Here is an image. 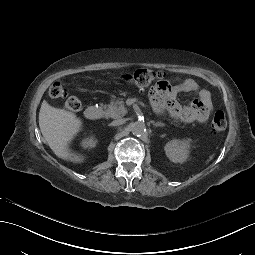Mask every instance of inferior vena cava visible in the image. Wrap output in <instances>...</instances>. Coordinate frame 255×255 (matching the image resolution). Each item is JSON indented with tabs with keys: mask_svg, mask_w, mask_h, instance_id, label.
Returning <instances> with one entry per match:
<instances>
[{
	"mask_svg": "<svg viewBox=\"0 0 255 255\" xmlns=\"http://www.w3.org/2000/svg\"><path fill=\"white\" fill-rule=\"evenodd\" d=\"M121 124H122V120H120V119L114 120V121L111 123L112 126H119V125H121Z\"/></svg>",
	"mask_w": 255,
	"mask_h": 255,
	"instance_id": "1",
	"label": "inferior vena cava"
}]
</instances>
